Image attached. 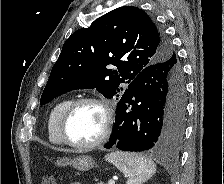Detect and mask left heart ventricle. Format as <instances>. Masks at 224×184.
Segmentation results:
<instances>
[{"label": "left heart ventricle", "instance_id": "left-heart-ventricle-1", "mask_svg": "<svg viewBox=\"0 0 224 184\" xmlns=\"http://www.w3.org/2000/svg\"><path fill=\"white\" fill-rule=\"evenodd\" d=\"M104 121L102 109L90 103L78 106L67 123L69 138L79 144H85L96 140L101 131Z\"/></svg>", "mask_w": 224, "mask_h": 184}]
</instances>
